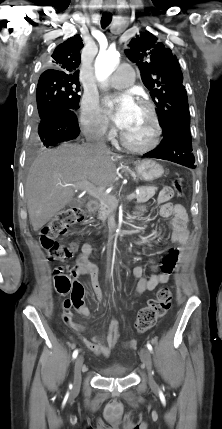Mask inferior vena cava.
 Segmentation results:
<instances>
[{"label": "inferior vena cava", "mask_w": 222, "mask_h": 429, "mask_svg": "<svg viewBox=\"0 0 222 429\" xmlns=\"http://www.w3.org/2000/svg\"><path fill=\"white\" fill-rule=\"evenodd\" d=\"M106 129V128H104ZM87 146L92 149H102L107 150L106 143L103 138H100L97 135H88L87 138Z\"/></svg>", "instance_id": "602c4592"}]
</instances>
